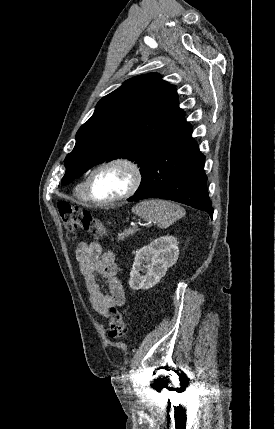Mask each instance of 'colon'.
Masks as SVG:
<instances>
[{
    "mask_svg": "<svg viewBox=\"0 0 275 429\" xmlns=\"http://www.w3.org/2000/svg\"><path fill=\"white\" fill-rule=\"evenodd\" d=\"M57 207L69 239H76L78 230L101 235L106 233L105 227L88 210L72 206L64 201L59 202ZM126 336L127 327L123 313L118 308L111 307L109 337L111 339H124Z\"/></svg>",
    "mask_w": 275,
    "mask_h": 429,
    "instance_id": "colon-1",
    "label": "colon"
}]
</instances>
